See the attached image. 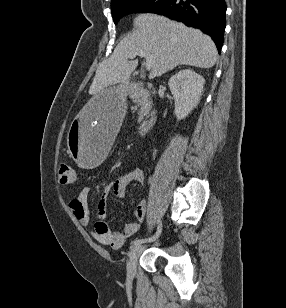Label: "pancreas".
<instances>
[{
  "mask_svg": "<svg viewBox=\"0 0 286 308\" xmlns=\"http://www.w3.org/2000/svg\"><path fill=\"white\" fill-rule=\"evenodd\" d=\"M128 94L129 98L140 107L138 122H141L151 109L150 92L139 85H135L129 87Z\"/></svg>",
  "mask_w": 286,
  "mask_h": 308,
  "instance_id": "1",
  "label": "pancreas"
}]
</instances>
